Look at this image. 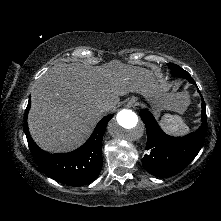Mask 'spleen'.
<instances>
[{"mask_svg": "<svg viewBox=\"0 0 221 221\" xmlns=\"http://www.w3.org/2000/svg\"><path fill=\"white\" fill-rule=\"evenodd\" d=\"M160 125L166 132L175 135H184L189 130L186 123L177 115L165 114L160 120Z\"/></svg>", "mask_w": 221, "mask_h": 221, "instance_id": "1", "label": "spleen"}]
</instances>
